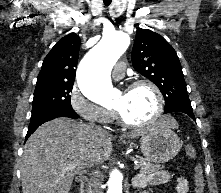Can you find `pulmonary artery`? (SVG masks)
<instances>
[{
	"label": "pulmonary artery",
	"instance_id": "obj_1",
	"mask_svg": "<svg viewBox=\"0 0 221 193\" xmlns=\"http://www.w3.org/2000/svg\"><path fill=\"white\" fill-rule=\"evenodd\" d=\"M125 74V64L123 62H118L112 71V76L115 79H121Z\"/></svg>",
	"mask_w": 221,
	"mask_h": 193
}]
</instances>
